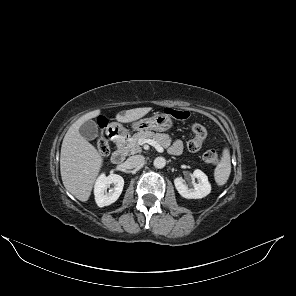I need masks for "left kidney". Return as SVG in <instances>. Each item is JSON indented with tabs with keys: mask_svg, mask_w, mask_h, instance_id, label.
Returning a JSON list of instances; mask_svg holds the SVG:
<instances>
[{
	"mask_svg": "<svg viewBox=\"0 0 296 296\" xmlns=\"http://www.w3.org/2000/svg\"><path fill=\"white\" fill-rule=\"evenodd\" d=\"M193 176L197 178L198 183H193V188H189L181 177L174 179L175 187L178 193L186 199H201L211 192V185L207 175L199 169L193 172Z\"/></svg>",
	"mask_w": 296,
	"mask_h": 296,
	"instance_id": "left-kidney-1",
	"label": "left kidney"
}]
</instances>
